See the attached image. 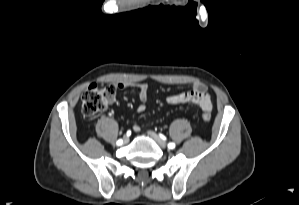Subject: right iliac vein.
I'll list each match as a JSON object with an SVG mask.
<instances>
[{
  "instance_id": "63e3f726",
  "label": "right iliac vein",
  "mask_w": 299,
  "mask_h": 205,
  "mask_svg": "<svg viewBox=\"0 0 299 205\" xmlns=\"http://www.w3.org/2000/svg\"><path fill=\"white\" fill-rule=\"evenodd\" d=\"M128 142H129V138H128L127 136H125V137L123 138L122 143L127 144Z\"/></svg>"
}]
</instances>
